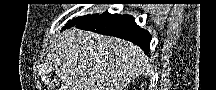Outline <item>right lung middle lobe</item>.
<instances>
[{
  "label": "right lung middle lobe",
  "instance_id": "1",
  "mask_svg": "<svg viewBox=\"0 0 216 90\" xmlns=\"http://www.w3.org/2000/svg\"><path fill=\"white\" fill-rule=\"evenodd\" d=\"M95 16H97V14L96 15H92V16L91 15H87V16H84V17L73 19L72 21H69V23L66 24V26L69 25V24H71V23L87 20V19H90V18L95 17Z\"/></svg>",
  "mask_w": 216,
  "mask_h": 90
}]
</instances>
